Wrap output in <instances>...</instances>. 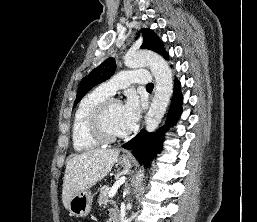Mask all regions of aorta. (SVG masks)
<instances>
[{
    "label": "aorta",
    "mask_w": 257,
    "mask_h": 222,
    "mask_svg": "<svg viewBox=\"0 0 257 222\" xmlns=\"http://www.w3.org/2000/svg\"><path fill=\"white\" fill-rule=\"evenodd\" d=\"M124 64L129 68L149 66L156 80V90L145 126L148 132H153L161 122L173 92L172 71L168 63L160 55L147 50L129 51L124 57ZM143 171L136 176V185L143 179ZM128 206H131L130 203Z\"/></svg>",
    "instance_id": "obj_1"
}]
</instances>
